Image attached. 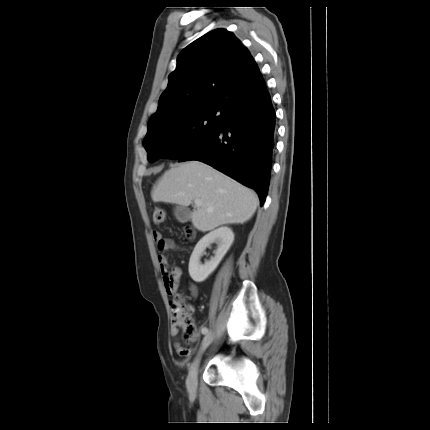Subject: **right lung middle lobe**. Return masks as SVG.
Returning <instances> with one entry per match:
<instances>
[{
	"label": "right lung middle lobe",
	"instance_id": "obj_1",
	"mask_svg": "<svg viewBox=\"0 0 430 430\" xmlns=\"http://www.w3.org/2000/svg\"><path fill=\"white\" fill-rule=\"evenodd\" d=\"M217 112L221 114L217 116ZM223 115L221 106L207 104L148 126L143 145L149 162L180 159L192 152L219 130Z\"/></svg>",
	"mask_w": 430,
	"mask_h": 430
}]
</instances>
